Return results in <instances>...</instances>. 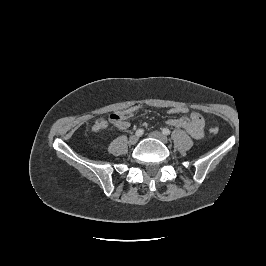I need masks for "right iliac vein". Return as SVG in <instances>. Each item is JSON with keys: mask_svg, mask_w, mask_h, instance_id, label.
<instances>
[{"mask_svg": "<svg viewBox=\"0 0 266 266\" xmlns=\"http://www.w3.org/2000/svg\"><path fill=\"white\" fill-rule=\"evenodd\" d=\"M138 140H139V136L138 135H132V136H130L128 142H129L130 145H134V144H136L138 142Z\"/></svg>", "mask_w": 266, "mask_h": 266, "instance_id": "right-iliac-vein-1", "label": "right iliac vein"}]
</instances>
